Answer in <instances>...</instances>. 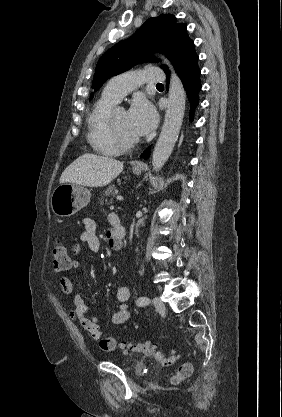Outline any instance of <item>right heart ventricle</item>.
Here are the masks:
<instances>
[{
	"mask_svg": "<svg viewBox=\"0 0 282 417\" xmlns=\"http://www.w3.org/2000/svg\"><path fill=\"white\" fill-rule=\"evenodd\" d=\"M115 104L116 101L102 95L88 117L87 138L97 151L106 155L114 154L119 150L106 125Z\"/></svg>",
	"mask_w": 282,
	"mask_h": 417,
	"instance_id": "right-heart-ventricle-1",
	"label": "right heart ventricle"
}]
</instances>
